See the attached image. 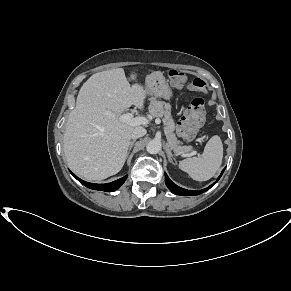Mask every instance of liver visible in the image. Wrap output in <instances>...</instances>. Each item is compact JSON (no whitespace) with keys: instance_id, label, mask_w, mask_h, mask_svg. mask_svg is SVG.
Wrapping results in <instances>:
<instances>
[{"instance_id":"6515ba94","label":"liver","mask_w":291,"mask_h":291,"mask_svg":"<svg viewBox=\"0 0 291 291\" xmlns=\"http://www.w3.org/2000/svg\"><path fill=\"white\" fill-rule=\"evenodd\" d=\"M136 77L135 72L130 74L132 80ZM147 94L138 83L130 86L123 68L96 73L83 84L67 119L63 145L76 174L103 180L122 169L131 133L139 125L122 122L120 115L132 105L143 110Z\"/></svg>"}]
</instances>
